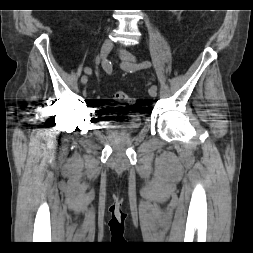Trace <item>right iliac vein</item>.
Returning <instances> with one entry per match:
<instances>
[{
  "mask_svg": "<svg viewBox=\"0 0 253 253\" xmlns=\"http://www.w3.org/2000/svg\"><path fill=\"white\" fill-rule=\"evenodd\" d=\"M113 48V44L110 40H105L102 44V47H101V51H100V56L103 60H105L107 58V56L109 55V53L111 52ZM88 78L86 75H83L81 77V82L83 84H85L87 82Z\"/></svg>",
  "mask_w": 253,
  "mask_h": 253,
  "instance_id": "right-iliac-vein-1",
  "label": "right iliac vein"
}]
</instances>
